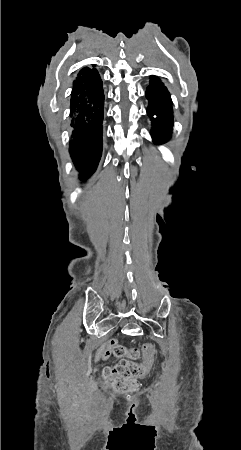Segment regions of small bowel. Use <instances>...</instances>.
<instances>
[{
	"label": "small bowel",
	"mask_w": 241,
	"mask_h": 450,
	"mask_svg": "<svg viewBox=\"0 0 241 450\" xmlns=\"http://www.w3.org/2000/svg\"><path fill=\"white\" fill-rule=\"evenodd\" d=\"M113 343H115V340H111V344H113ZM109 354H110V352L107 347L102 348L98 353V358L106 359L109 357Z\"/></svg>",
	"instance_id": "obj_1"
}]
</instances>
